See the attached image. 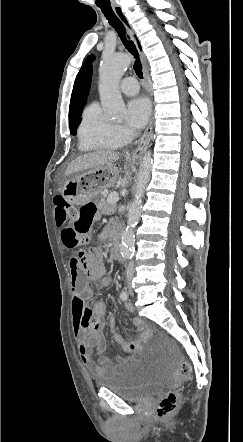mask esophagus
Here are the masks:
<instances>
[{
	"instance_id": "34e87169",
	"label": "esophagus",
	"mask_w": 243,
	"mask_h": 442,
	"mask_svg": "<svg viewBox=\"0 0 243 442\" xmlns=\"http://www.w3.org/2000/svg\"><path fill=\"white\" fill-rule=\"evenodd\" d=\"M113 9H114V12L117 15V17L124 24L128 36L134 41V43H135V45H136V47L138 49V52H139V55H140V59H141L142 65H143V75H144L145 80L148 81V79H149V71H148L146 57L140 51V49L138 47L137 41L134 38V33H133L132 29H131V25L129 23V20L126 17V15H125V13H124V11H123L121 6L115 5L113 7ZM150 95L152 96L151 93H150ZM152 122H153V110H152V114H151L149 123H148V125L146 127V130H145L144 134L142 135V137L139 139L138 145H137L136 149L131 154V160L135 161V160L139 159L142 156V154L146 151L148 143L150 141V134H151V131H152Z\"/></svg>"
}]
</instances>
